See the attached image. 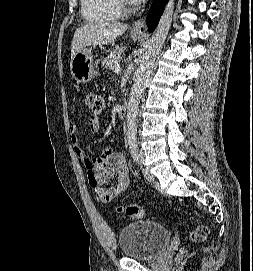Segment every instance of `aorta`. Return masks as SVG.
Instances as JSON below:
<instances>
[{
	"mask_svg": "<svg viewBox=\"0 0 253 271\" xmlns=\"http://www.w3.org/2000/svg\"><path fill=\"white\" fill-rule=\"evenodd\" d=\"M175 0H168L160 21L152 34L148 43L147 51L143 57L142 64L136 75L133 87L130 93V99L127 106V139L135 141L137 138V115L139 103L144 93L145 87L153 71L155 60L159 55L161 48L166 40L173 20Z\"/></svg>",
	"mask_w": 253,
	"mask_h": 271,
	"instance_id": "1",
	"label": "aorta"
}]
</instances>
